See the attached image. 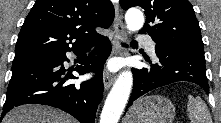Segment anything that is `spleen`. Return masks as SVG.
<instances>
[{"label":"spleen","instance_id":"spleen-1","mask_svg":"<svg viewBox=\"0 0 221 123\" xmlns=\"http://www.w3.org/2000/svg\"><path fill=\"white\" fill-rule=\"evenodd\" d=\"M187 115L191 123H212L208 107L200 97L188 95Z\"/></svg>","mask_w":221,"mask_h":123}]
</instances>
